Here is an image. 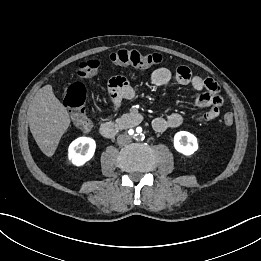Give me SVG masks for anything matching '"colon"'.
Instances as JSON below:
<instances>
[{
  "mask_svg": "<svg viewBox=\"0 0 261 261\" xmlns=\"http://www.w3.org/2000/svg\"><path fill=\"white\" fill-rule=\"evenodd\" d=\"M109 60L117 65H131L139 68H147L162 62L163 57L158 53H141L136 50L121 49L108 55ZM99 68V61L95 59L85 60L77 66V76L87 79L95 75ZM86 89L80 82H75L67 89L64 104L72 112L75 125L83 132L91 129V121L85 113ZM234 117L231 112H225L223 123L229 127L233 124Z\"/></svg>",
  "mask_w": 261,
  "mask_h": 261,
  "instance_id": "colon-1",
  "label": "colon"
}]
</instances>
